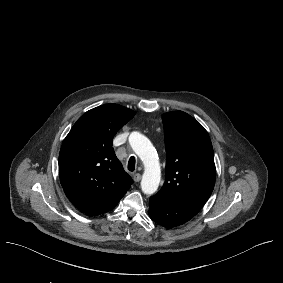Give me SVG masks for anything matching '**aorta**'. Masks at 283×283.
Segmentation results:
<instances>
[{
    "label": "aorta",
    "mask_w": 283,
    "mask_h": 283,
    "mask_svg": "<svg viewBox=\"0 0 283 283\" xmlns=\"http://www.w3.org/2000/svg\"><path fill=\"white\" fill-rule=\"evenodd\" d=\"M129 143L145 167L141 189L145 194H153L158 189L161 179V169L156 150L150 140L139 132L130 134Z\"/></svg>",
    "instance_id": "762f6f07"
}]
</instances>
